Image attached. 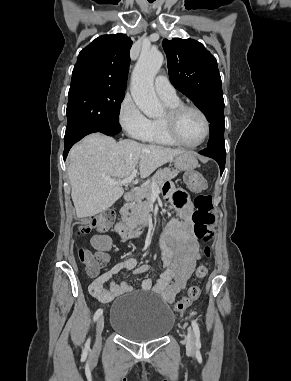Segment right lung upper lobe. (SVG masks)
<instances>
[{
    "label": "right lung upper lobe",
    "instance_id": "1",
    "mask_svg": "<svg viewBox=\"0 0 291 381\" xmlns=\"http://www.w3.org/2000/svg\"><path fill=\"white\" fill-rule=\"evenodd\" d=\"M132 40L124 34L102 35L79 53L71 86L126 88Z\"/></svg>",
    "mask_w": 291,
    "mask_h": 381
}]
</instances>
